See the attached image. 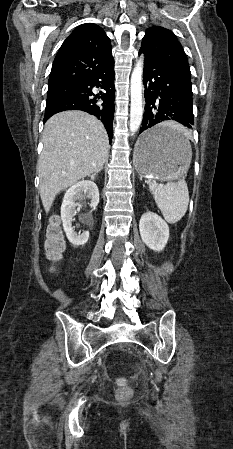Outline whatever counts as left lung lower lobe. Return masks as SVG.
I'll return each instance as SVG.
<instances>
[{"instance_id": "0a47b994", "label": "left lung lower lobe", "mask_w": 233, "mask_h": 449, "mask_svg": "<svg viewBox=\"0 0 233 449\" xmlns=\"http://www.w3.org/2000/svg\"><path fill=\"white\" fill-rule=\"evenodd\" d=\"M144 54L143 84L145 111L140 132H145L141 143L143 152L169 148L181 144L176 134H154L147 131L164 121L175 120L188 128L193 125V98L190 79L174 69Z\"/></svg>"}]
</instances>
